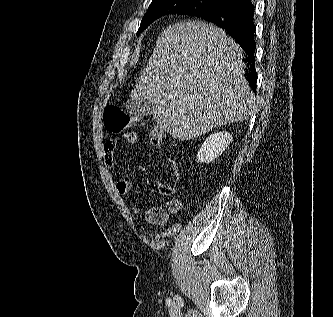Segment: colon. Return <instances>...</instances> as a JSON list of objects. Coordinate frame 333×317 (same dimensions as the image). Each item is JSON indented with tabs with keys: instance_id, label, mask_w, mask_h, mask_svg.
<instances>
[{
	"instance_id": "obj_1",
	"label": "colon",
	"mask_w": 333,
	"mask_h": 317,
	"mask_svg": "<svg viewBox=\"0 0 333 317\" xmlns=\"http://www.w3.org/2000/svg\"><path fill=\"white\" fill-rule=\"evenodd\" d=\"M103 119L106 130L113 134H120L138 122L137 117L132 116L118 106H108L105 108ZM153 142L154 144L160 143L157 135H153ZM169 158L172 159L171 156Z\"/></svg>"
}]
</instances>
